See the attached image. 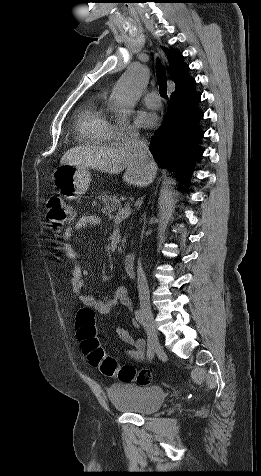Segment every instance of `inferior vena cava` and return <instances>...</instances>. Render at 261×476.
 <instances>
[{"instance_id": "602c4592", "label": "inferior vena cava", "mask_w": 261, "mask_h": 476, "mask_svg": "<svg viewBox=\"0 0 261 476\" xmlns=\"http://www.w3.org/2000/svg\"><path fill=\"white\" fill-rule=\"evenodd\" d=\"M125 150L131 152L133 156L138 159L142 165H145L148 170L154 168V163L151 158L148 143L139 139L138 133H130L124 144ZM138 292L139 301L142 308L150 310V293L146 279V275L139 263L138 267Z\"/></svg>"}]
</instances>
